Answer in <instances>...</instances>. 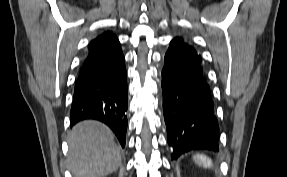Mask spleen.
I'll return each instance as SVG.
<instances>
[{
	"label": "spleen",
	"instance_id": "3e777b00",
	"mask_svg": "<svg viewBox=\"0 0 287 177\" xmlns=\"http://www.w3.org/2000/svg\"><path fill=\"white\" fill-rule=\"evenodd\" d=\"M194 160L197 165L204 168H211L213 166L211 159L202 154L194 155Z\"/></svg>",
	"mask_w": 287,
	"mask_h": 177
}]
</instances>
